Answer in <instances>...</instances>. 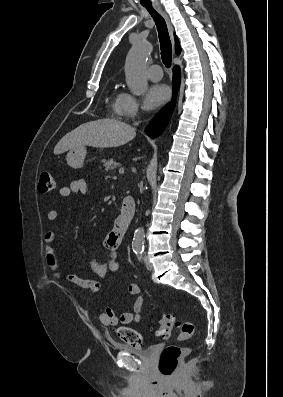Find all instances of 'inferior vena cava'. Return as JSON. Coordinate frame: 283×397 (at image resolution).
<instances>
[{"label":"inferior vena cava","instance_id":"602c4592","mask_svg":"<svg viewBox=\"0 0 283 397\" xmlns=\"http://www.w3.org/2000/svg\"><path fill=\"white\" fill-rule=\"evenodd\" d=\"M134 125H138V122H135Z\"/></svg>","mask_w":283,"mask_h":397}]
</instances>
